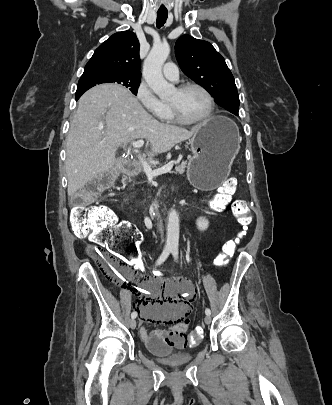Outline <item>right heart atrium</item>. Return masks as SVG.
Here are the masks:
<instances>
[{
  "label": "right heart atrium",
  "instance_id": "1",
  "mask_svg": "<svg viewBox=\"0 0 332 405\" xmlns=\"http://www.w3.org/2000/svg\"><path fill=\"white\" fill-rule=\"evenodd\" d=\"M136 97L151 116L162 118L166 110V105L156 97L146 83L142 82L139 85L136 91Z\"/></svg>",
  "mask_w": 332,
  "mask_h": 405
}]
</instances>
